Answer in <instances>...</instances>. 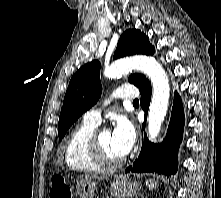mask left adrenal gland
Returning <instances> with one entry per match:
<instances>
[{"mask_svg": "<svg viewBox=\"0 0 221 198\" xmlns=\"http://www.w3.org/2000/svg\"><path fill=\"white\" fill-rule=\"evenodd\" d=\"M140 195H137L135 198H139Z\"/></svg>", "mask_w": 221, "mask_h": 198, "instance_id": "1", "label": "left adrenal gland"}]
</instances>
